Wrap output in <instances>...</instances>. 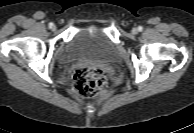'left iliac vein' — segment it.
<instances>
[{
    "mask_svg": "<svg viewBox=\"0 0 194 133\" xmlns=\"http://www.w3.org/2000/svg\"><path fill=\"white\" fill-rule=\"evenodd\" d=\"M137 32H138V30H137L136 28H133V29H132V33H133V34H136Z\"/></svg>",
    "mask_w": 194,
    "mask_h": 133,
    "instance_id": "left-iliac-vein-1",
    "label": "left iliac vein"
}]
</instances>
